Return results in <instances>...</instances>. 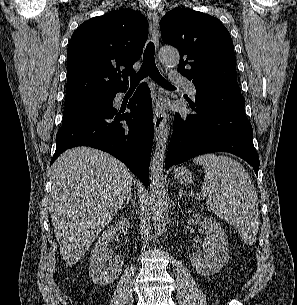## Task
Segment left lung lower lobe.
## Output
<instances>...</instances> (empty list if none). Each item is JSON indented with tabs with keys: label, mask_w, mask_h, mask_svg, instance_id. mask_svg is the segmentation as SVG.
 Instances as JSON below:
<instances>
[{
	"label": "left lung lower lobe",
	"mask_w": 297,
	"mask_h": 305,
	"mask_svg": "<svg viewBox=\"0 0 297 305\" xmlns=\"http://www.w3.org/2000/svg\"><path fill=\"white\" fill-rule=\"evenodd\" d=\"M244 106L237 81L196 90L195 103L189 108L197 114H175L165 167L200 154L229 152L248 162L258 176L260 162Z\"/></svg>",
	"instance_id": "obj_1"
}]
</instances>
